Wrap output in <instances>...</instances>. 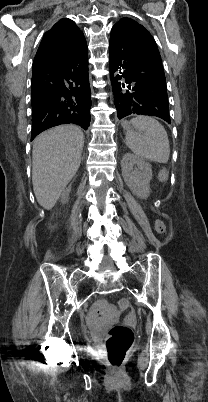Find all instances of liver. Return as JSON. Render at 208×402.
Instances as JSON below:
<instances>
[{
    "label": "liver",
    "instance_id": "6515ba94",
    "mask_svg": "<svg viewBox=\"0 0 208 402\" xmlns=\"http://www.w3.org/2000/svg\"><path fill=\"white\" fill-rule=\"evenodd\" d=\"M84 136L78 126H57L35 138L32 150V184L36 200L51 210L81 162Z\"/></svg>",
    "mask_w": 208,
    "mask_h": 402
}]
</instances>
